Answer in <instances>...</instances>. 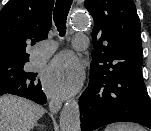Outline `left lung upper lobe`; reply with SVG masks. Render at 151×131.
<instances>
[{"instance_id": "obj_1", "label": "left lung upper lobe", "mask_w": 151, "mask_h": 131, "mask_svg": "<svg viewBox=\"0 0 151 131\" xmlns=\"http://www.w3.org/2000/svg\"><path fill=\"white\" fill-rule=\"evenodd\" d=\"M85 7L94 19L90 78L111 79L141 67V27L133 0H85Z\"/></svg>"}]
</instances>
